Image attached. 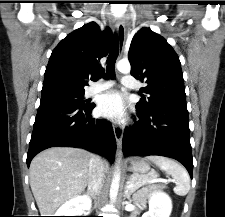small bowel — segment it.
<instances>
[{"instance_id": "small-bowel-1", "label": "small bowel", "mask_w": 225, "mask_h": 217, "mask_svg": "<svg viewBox=\"0 0 225 217\" xmlns=\"http://www.w3.org/2000/svg\"><path fill=\"white\" fill-rule=\"evenodd\" d=\"M158 189H159V186H156V185L147 186V187L142 188L135 195V198H134L135 202L142 203L146 199V197H148L149 195H151Z\"/></svg>"}]
</instances>
